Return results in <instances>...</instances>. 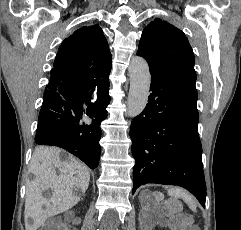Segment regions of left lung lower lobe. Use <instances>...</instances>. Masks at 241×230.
I'll list each match as a JSON object with an SVG mask.
<instances>
[{"label":"left lung lower lobe","instance_id":"obj_1","mask_svg":"<svg viewBox=\"0 0 241 230\" xmlns=\"http://www.w3.org/2000/svg\"><path fill=\"white\" fill-rule=\"evenodd\" d=\"M148 104L132 120L133 193L146 183L186 188L205 207L197 91L151 76Z\"/></svg>","mask_w":241,"mask_h":230}]
</instances>
